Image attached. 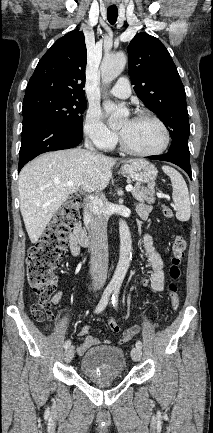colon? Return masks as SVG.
Wrapping results in <instances>:
<instances>
[{
  "instance_id": "1",
  "label": "colon",
  "mask_w": 213,
  "mask_h": 433,
  "mask_svg": "<svg viewBox=\"0 0 213 433\" xmlns=\"http://www.w3.org/2000/svg\"><path fill=\"white\" fill-rule=\"evenodd\" d=\"M80 210V199L72 196L56 212L40 239L32 245L27 254V281L32 291L40 299L32 305L31 311L34 318L42 322L52 318L49 297L56 287L55 269L63 258L67 248L68 232L72 228ZM163 215L172 217L171 209L163 205ZM186 250V240L183 235H175L171 243V264L169 275L172 282L169 284V298L171 308L176 311L180 305L178 287L175 283L181 277V267ZM108 327L112 332L119 331L117 321L112 318L108 321ZM129 337V333H125Z\"/></svg>"
}]
</instances>
